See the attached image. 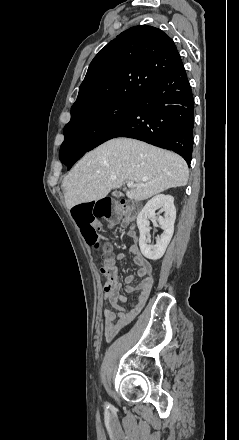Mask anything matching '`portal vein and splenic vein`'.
<instances>
[{
  "instance_id": "obj_1",
  "label": "portal vein and splenic vein",
  "mask_w": 239,
  "mask_h": 440,
  "mask_svg": "<svg viewBox=\"0 0 239 440\" xmlns=\"http://www.w3.org/2000/svg\"><path fill=\"white\" fill-rule=\"evenodd\" d=\"M138 184H134V182H127V188H137Z\"/></svg>"
}]
</instances>
